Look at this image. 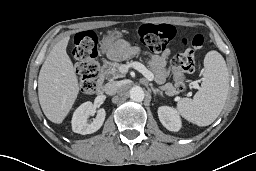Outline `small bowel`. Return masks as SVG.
I'll use <instances>...</instances> for the list:
<instances>
[{
    "label": "small bowel",
    "instance_id": "c3829d8e",
    "mask_svg": "<svg viewBox=\"0 0 256 171\" xmlns=\"http://www.w3.org/2000/svg\"><path fill=\"white\" fill-rule=\"evenodd\" d=\"M128 49L132 53H139L141 51V48L136 46H130L128 47ZM168 57V52H164L162 54H152L150 56V65L155 72V80L157 83H163L167 78V71L165 69V66Z\"/></svg>",
    "mask_w": 256,
    "mask_h": 171
}]
</instances>
